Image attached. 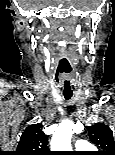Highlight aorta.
Returning a JSON list of instances; mask_svg holds the SVG:
<instances>
[{
	"mask_svg": "<svg viewBox=\"0 0 115 155\" xmlns=\"http://www.w3.org/2000/svg\"><path fill=\"white\" fill-rule=\"evenodd\" d=\"M74 124L71 121L61 123L50 143L52 151H70Z\"/></svg>",
	"mask_w": 115,
	"mask_h": 155,
	"instance_id": "762f6f07",
	"label": "aorta"
}]
</instances>
